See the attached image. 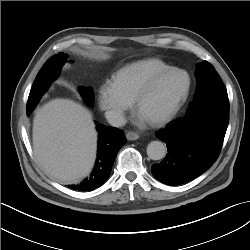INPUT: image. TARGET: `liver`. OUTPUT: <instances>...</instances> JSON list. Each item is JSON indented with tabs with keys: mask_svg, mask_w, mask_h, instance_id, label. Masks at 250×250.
<instances>
[{
	"mask_svg": "<svg viewBox=\"0 0 250 250\" xmlns=\"http://www.w3.org/2000/svg\"><path fill=\"white\" fill-rule=\"evenodd\" d=\"M33 147L48 175L62 183L77 182L90 173L96 158L91 113L70 99L47 102L34 116Z\"/></svg>",
	"mask_w": 250,
	"mask_h": 250,
	"instance_id": "6515ba94",
	"label": "liver"
}]
</instances>
